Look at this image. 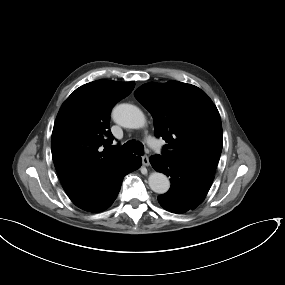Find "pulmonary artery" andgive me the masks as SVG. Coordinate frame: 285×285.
<instances>
[{"label": "pulmonary artery", "mask_w": 285, "mask_h": 285, "mask_svg": "<svg viewBox=\"0 0 285 285\" xmlns=\"http://www.w3.org/2000/svg\"><path fill=\"white\" fill-rule=\"evenodd\" d=\"M147 141H148L149 143H151V140H150V139H147Z\"/></svg>", "instance_id": "obj_1"}]
</instances>
